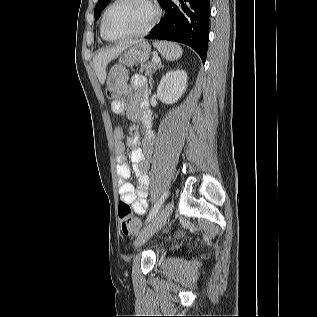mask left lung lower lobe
Instances as JSON below:
<instances>
[{
  "label": "left lung lower lobe",
  "instance_id": "0a47b994",
  "mask_svg": "<svg viewBox=\"0 0 317 317\" xmlns=\"http://www.w3.org/2000/svg\"><path fill=\"white\" fill-rule=\"evenodd\" d=\"M165 0V16L146 39L181 42L192 47L206 60L209 35L210 0Z\"/></svg>",
  "mask_w": 317,
  "mask_h": 317
}]
</instances>
